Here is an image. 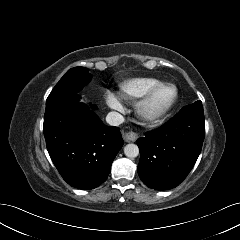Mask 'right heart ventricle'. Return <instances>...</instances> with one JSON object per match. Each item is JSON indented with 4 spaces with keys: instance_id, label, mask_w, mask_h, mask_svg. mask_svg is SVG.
<instances>
[{
    "instance_id": "right-heart-ventricle-1",
    "label": "right heart ventricle",
    "mask_w": 240,
    "mask_h": 240,
    "mask_svg": "<svg viewBox=\"0 0 240 240\" xmlns=\"http://www.w3.org/2000/svg\"><path fill=\"white\" fill-rule=\"evenodd\" d=\"M159 83H162V80L154 77L132 78L120 84L118 93L123 100L134 102Z\"/></svg>"
}]
</instances>
